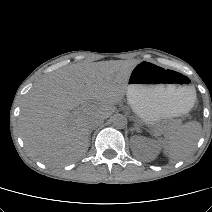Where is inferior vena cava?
Segmentation results:
<instances>
[{"mask_svg": "<svg viewBox=\"0 0 212 212\" xmlns=\"http://www.w3.org/2000/svg\"><path fill=\"white\" fill-rule=\"evenodd\" d=\"M104 122V117L100 115H92L88 118V127L93 129Z\"/></svg>", "mask_w": 212, "mask_h": 212, "instance_id": "inferior-vena-cava-1", "label": "inferior vena cava"}]
</instances>
